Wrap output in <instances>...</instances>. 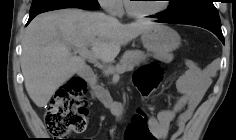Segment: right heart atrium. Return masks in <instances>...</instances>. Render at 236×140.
I'll return each mask as SVG.
<instances>
[{"instance_id": "1", "label": "right heart atrium", "mask_w": 236, "mask_h": 140, "mask_svg": "<svg viewBox=\"0 0 236 140\" xmlns=\"http://www.w3.org/2000/svg\"><path fill=\"white\" fill-rule=\"evenodd\" d=\"M99 3L107 13L119 15L123 12L122 0H99Z\"/></svg>"}]
</instances>
